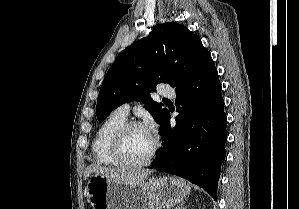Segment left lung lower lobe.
Instances as JSON below:
<instances>
[{
    "mask_svg": "<svg viewBox=\"0 0 299 209\" xmlns=\"http://www.w3.org/2000/svg\"><path fill=\"white\" fill-rule=\"evenodd\" d=\"M175 105L179 112L176 125L171 127L168 112L159 131L163 147L150 168L185 178L216 199L227 118L212 58L189 81L176 87Z\"/></svg>",
    "mask_w": 299,
    "mask_h": 209,
    "instance_id": "0a47b994",
    "label": "left lung lower lobe"
}]
</instances>
